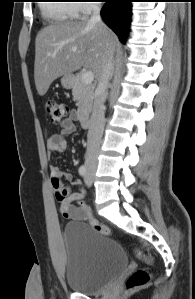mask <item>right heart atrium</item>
<instances>
[{
    "label": "right heart atrium",
    "mask_w": 195,
    "mask_h": 299,
    "mask_svg": "<svg viewBox=\"0 0 195 299\" xmlns=\"http://www.w3.org/2000/svg\"><path fill=\"white\" fill-rule=\"evenodd\" d=\"M89 2H93L91 0H78L75 3L74 13L76 15L85 16L92 12L93 8L90 6Z\"/></svg>",
    "instance_id": "d8ad5b80"
}]
</instances>
